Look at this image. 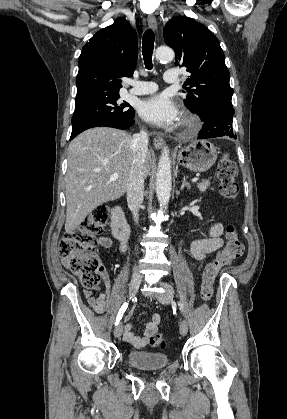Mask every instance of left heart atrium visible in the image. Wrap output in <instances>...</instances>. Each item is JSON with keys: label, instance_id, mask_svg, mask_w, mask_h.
Listing matches in <instances>:
<instances>
[{"label": "left heart atrium", "instance_id": "left-heart-atrium-1", "mask_svg": "<svg viewBox=\"0 0 287 419\" xmlns=\"http://www.w3.org/2000/svg\"><path fill=\"white\" fill-rule=\"evenodd\" d=\"M140 115L148 122L157 125L174 123L178 118V109L175 103L166 94H155L141 102Z\"/></svg>", "mask_w": 287, "mask_h": 419}]
</instances>
